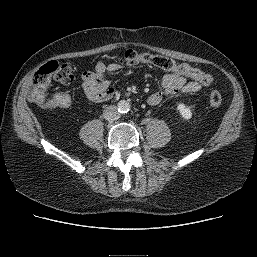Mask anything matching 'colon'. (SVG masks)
<instances>
[{"mask_svg":"<svg viewBox=\"0 0 257 257\" xmlns=\"http://www.w3.org/2000/svg\"><path fill=\"white\" fill-rule=\"evenodd\" d=\"M122 63L131 66L138 63H149L162 70L174 72L193 80L203 86H209L213 82V76L186 63H177L174 60L150 53H139L128 50L122 57ZM73 80V68L69 62L50 61L41 66L33 75L32 81L26 90L29 100L46 108H64L71 103L68 94L60 93L52 98H47L46 92L52 81L68 84ZM208 102L211 107L217 108L222 103L219 91L211 90L208 93Z\"/></svg>","mask_w":257,"mask_h":257,"instance_id":"obj_1","label":"colon"}]
</instances>
